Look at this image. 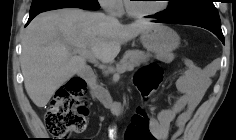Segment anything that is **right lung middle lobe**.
I'll return each instance as SVG.
<instances>
[{"mask_svg":"<svg viewBox=\"0 0 236 140\" xmlns=\"http://www.w3.org/2000/svg\"><path fill=\"white\" fill-rule=\"evenodd\" d=\"M65 7L98 10L100 5L97 0H33L30 14Z\"/></svg>","mask_w":236,"mask_h":140,"instance_id":"obj_1","label":"right lung middle lobe"}]
</instances>
